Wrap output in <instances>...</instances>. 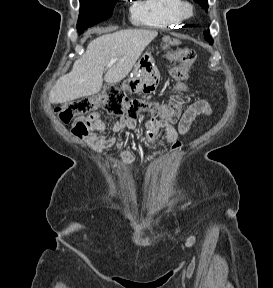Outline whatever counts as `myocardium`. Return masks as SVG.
<instances>
[{"instance_id": "f54148a6", "label": "myocardium", "mask_w": 273, "mask_h": 288, "mask_svg": "<svg viewBox=\"0 0 273 288\" xmlns=\"http://www.w3.org/2000/svg\"><path fill=\"white\" fill-rule=\"evenodd\" d=\"M194 9L190 3H184L182 6V15L184 18L191 17L193 15Z\"/></svg>"}]
</instances>
